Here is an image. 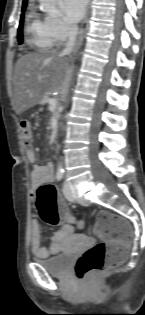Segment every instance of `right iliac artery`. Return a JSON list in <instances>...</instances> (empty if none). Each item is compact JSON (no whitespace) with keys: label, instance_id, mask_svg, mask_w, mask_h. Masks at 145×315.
Segmentation results:
<instances>
[{"label":"right iliac artery","instance_id":"obj_1","mask_svg":"<svg viewBox=\"0 0 145 315\" xmlns=\"http://www.w3.org/2000/svg\"><path fill=\"white\" fill-rule=\"evenodd\" d=\"M56 178L58 181H61L63 179V173H58Z\"/></svg>","mask_w":145,"mask_h":315}]
</instances>
